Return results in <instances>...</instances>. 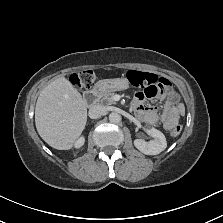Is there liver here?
Masks as SVG:
<instances>
[{"label": "liver", "mask_w": 223, "mask_h": 223, "mask_svg": "<svg viewBox=\"0 0 223 223\" xmlns=\"http://www.w3.org/2000/svg\"><path fill=\"white\" fill-rule=\"evenodd\" d=\"M87 121V106L81 94L64 77L46 86L35 107L40 137L58 150L71 149Z\"/></svg>", "instance_id": "obj_1"}]
</instances>
